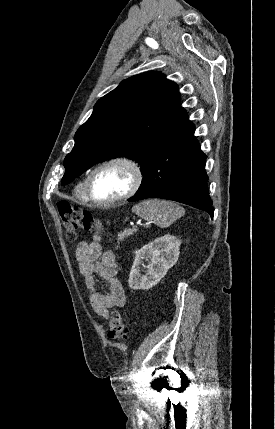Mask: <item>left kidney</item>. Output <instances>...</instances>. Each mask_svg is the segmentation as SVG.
Returning <instances> with one entry per match:
<instances>
[{"label":"left kidney","instance_id":"1","mask_svg":"<svg viewBox=\"0 0 275 429\" xmlns=\"http://www.w3.org/2000/svg\"><path fill=\"white\" fill-rule=\"evenodd\" d=\"M181 241L172 235H164L143 246L137 252L129 275V287L133 290H148L155 286L176 264L180 253ZM145 275H141L140 264L143 260Z\"/></svg>","mask_w":275,"mask_h":429}]
</instances>
